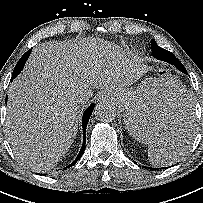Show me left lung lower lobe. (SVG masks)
Wrapping results in <instances>:
<instances>
[{"instance_id":"left-lung-lower-lobe-1","label":"left lung lower lobe","mask_w":203,"mask_h":203,"mask_svg":"<svg viewBox=\"0 0 203 203\" xmlns=\"http://www.w3.org/2000/svg\"><path fill=\"white\" fill-rule=\"evenodd\" d=\"M152 54H153V56H154L155 58H157V59H159V60H161V61L168 62V63H170V64L176 66L177 69H179L180 71H182V72H184V73H187L186 69L183 68V65L181 64V62H180L178 59H176L175 56H174L171 52H169V51H167V50H165V49H163V48H161V47H158V48H156V49L152 52ZM188 135H189V136H188ZM187 137L191 138V140H192L191 131H189V134H187L186 136H183V135H182V136H180V137H177L175 140L178 141V142H180V143H183V140H184L185 138H187ZM186 145H187V144H186ZM177 147H178V146H177ZM179 147H183V146H179ZM152 169H153V168H152Z\"/></svg>"}]
</instances>
